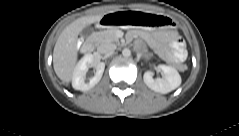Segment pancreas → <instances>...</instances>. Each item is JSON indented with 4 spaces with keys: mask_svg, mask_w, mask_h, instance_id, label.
<instances>
[{
    "mask_svg": "<svg viewBox=\"0 0 239 136\" xmlns=\"http://www.w3.org/2000/svg\"><path fill=\"white\" fill-rule=\"evenodd\" d=\"M117 31H118L117 27H110L107 30L97 32L96 38L98 39L99 43H104V42L119 43V38L116 35Z\"/></svg>",
    "mask_w": 239,
    "mask_h": 136,
    "instance_id": "1",
    "label": "pancreas"
}]
</instances>
